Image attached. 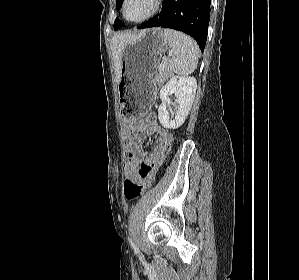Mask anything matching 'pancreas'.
<instances>
[{
	"label": "pancreas",
	"mask_w": 299,
	"mask_h": 280,
	"mask_svg": "<svg viewBox=\"0 0 299 280\" xmlns=\"http://www.w3.org/2000/svg\"><path fill=\"white\" fill-rule=\"evenodd\" d=\"M170 76V71L168 69V67H165V69L163 71H158L156 74H155V77H154V81L157 83V84H162L164 83Z\"/></svg>",
	"instance_id": "cf45deb5"
}]
</instances>
